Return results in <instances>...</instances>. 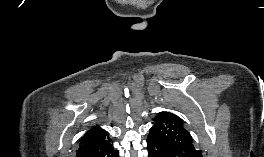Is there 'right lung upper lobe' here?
Instances as JSON below:
<instances>
[{
	"label": "right lung upper lobe",
	"mask_w": 264,
	"mask_h": 157,
	"mask_svg": "<svg viewBox=\"0 0 264 157\" xmlns=\"http://www.w3.org/2000/svg\"><path fill=\"white\" fill-rule=\"evenodd\" d=\"M107 139H109L108 133L104 129L94 126L93 128L89 129L80 139L81 144L77 152L98 145Z\"/></svg>",
	"instance_id": "1"
}]
</instances>
